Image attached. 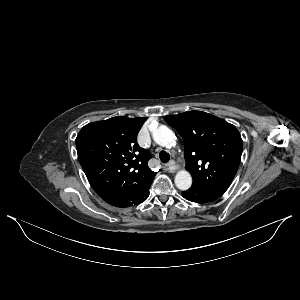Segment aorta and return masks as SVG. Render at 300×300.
<instances>
[{
	"mask_svg": "<svg viewBox=\"0 0 300 300\" xmlns=\"http://www.w3.org/2000/svg\"><path fill=\"white\" fill-rule=\"evenodd\" d=\"M154 141L162 147H172L175 144L176 136L166 126H159L152 133ZM175 185L180 190H188L192 185V177L186 170L179 171L175 176Z\"/></svg>",
	"mask_w": 300,
	"mask_h": 300,
	"instance_id": "obj_1",
	"label": "aorta"
}]
</instances>
